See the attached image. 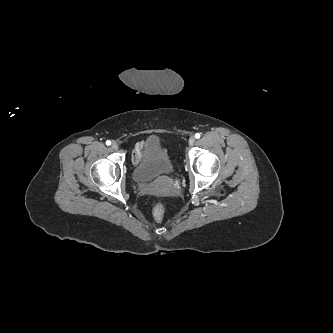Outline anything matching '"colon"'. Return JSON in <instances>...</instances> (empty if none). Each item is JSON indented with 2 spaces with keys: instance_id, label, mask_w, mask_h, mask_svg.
<instances>
[{
  "instance_id": "obj_1",
  "label": "colon",
  "mask_w": 333,
  "mask_h": 333,
  "mask_svg": "<svg viewBox=\"0 0 333 333\" xmlns=\"http://www.w3.org/2000/svg\"><path fill=\"white\" fill-rule=\"evenodd\" d=\"M164 216V206L157 204L153 209V217L157 222H161Z\"/></svg>"
}]
</instances>
